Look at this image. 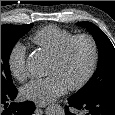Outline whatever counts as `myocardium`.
Wrapping results in <instances>:
<instances>
[{
  "label": "myocardium",
  "mask_w": 115,
  "mask_h": 115,
  "mask_svg": "<svg viewBox=\"0 0 115 115\" xmlns=\"http://www.w3.org/2000/svg\"><path fill=\"white\" fill-rule=\"evenodd\" d=\"M80 40L86 41L91 48V63L84 77L79 82L67 87V89L70 91H76L83 88L91 80V78L93 77L97 69L98 61H99V50H98V45L95 39L88 34L74 35L60 47L58 52L54 56H52V59H51L56 63H61L65 59L71 46L75 42L80 41Z\"/></svg>",
  "instance_id": "1"
}]
</instances>
